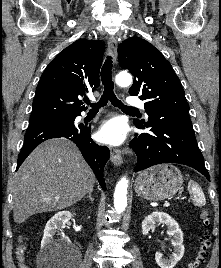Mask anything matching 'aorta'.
<instances>
[{"mask_svg":"<svg viewBox=\"0 0 221 268\" xmlns=\"http://www.w3.org/2000/svg\"><path fill=\"white\" fill-rule=\"evenodd\" d=\"M116 83L121 87H128L132 84V76L129 73H119L116 75ZM128 179L122 177L115 188L114 207L118 214H121L127 206Z\"/></svg>","mask_w":221,"mask_h":268,"instance_id":"762f6f07","label":"aorta"}]
</instances>
